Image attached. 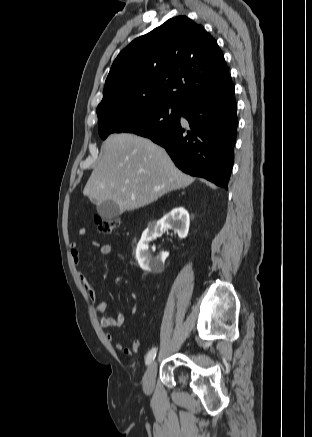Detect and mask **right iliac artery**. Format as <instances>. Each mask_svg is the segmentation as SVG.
<instances>
[{"label":"right iliac artery","instance_id":"82829eb1","mask_svg":"<svg viewBox=\"0 0 312 437\" xmlns=\"http://www.w3.org/2000/svg\"><path fill=\"white\" fill-rule=\"evenodd\" d=\"M157 348H153L149 351L146 357V365H149L156 357Z\"/></svg>","mask_w":312,"mask_h":437}]
</instances>
